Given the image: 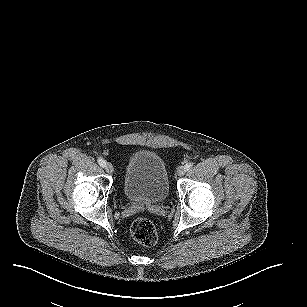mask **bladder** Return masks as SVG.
Here are the masks:
<instances>
[{
	"label": "bladder",
	"instance_id": "obj_1",
	"mask_svg": "<svg viewBox=\"0 0 307 307\" xmlns=\"http://www.w3.org/2000/svg\"><path fill=\"white\" fill-rule=\"evenodd\" d=\"M122 191L130 203L159 204L165 201L169 184L161 157L150 151L133 154L122 178Z\"/></svg>",
	"mask_w": 307,
	"mask_h": 307
}]
</instances>
